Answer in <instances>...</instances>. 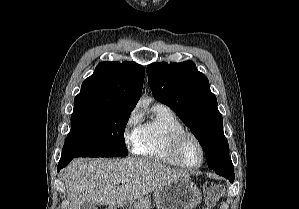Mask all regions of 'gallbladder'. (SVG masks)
<instances>
[{"label":"gallbladder","instance_id":"gallbladder-1","mask_svg":"<svg viewBox=\"0 0 299 209\" xmlns=\"http://www.w3.org/2000/svg\"><path fill=\"white\" fill-rule=\"evenodd\" d=\"M81 209H97V207H96V205L93 204L92 202H90V201H85V202L82 204Z\"/></svg>","mask_w":299,"mask_h":209}]
</instances>
